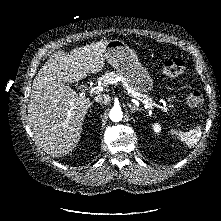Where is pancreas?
<instances>
[{
	"instance_id": "obj_1",
	"label": "pancreas",
	"mask_w": 221,
	"mask_h": 221,
	"mask_svg": "<svg viewBox=\"0 0 221 221\" xmlns=\"http://www.w3.org/2000/svg\"><path fill=\"white\" fill-rule=\"evenodd\" d=\"M101 81L104 83V85L108 86L110 84H114L116 83L117 79H120L123 86L127 89L131 91V94H137V96L143 97L145 98V100H147L148 102L152 103V99L150 97H147L146 95H143L135 90H132L128 83L126 82V80L122 77V75H120L119 73H115V72H109V73H105L101 78Z\"/></svg>"
}]
</instances>
